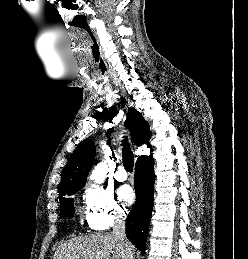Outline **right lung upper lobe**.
<instances>
[{
    "mask_svg": "<svg viewBox=\"0 0 248 259\" xmlns=\"http://www.w3.org/2000/svg\"><path fill=\"white\" fill-rule=\"evenodd\" d=\"M128 111L125 124L131 131L134 144L139 146L146 143L152 152V148L148 143L151 137L148 123L136 109L130 107ZM94 156L95 145L93 141L86 139L77 146L65 167L60 182V197L64 196L70 190L84 186Z\"/></svg>",
    "mask_w": 248,
    "mask_h": 259,
    "instance_id": "1",
    "label": "right lung upper lobe"
}]
</instances>
